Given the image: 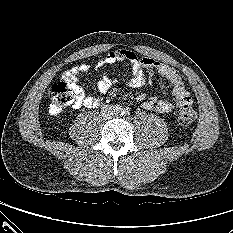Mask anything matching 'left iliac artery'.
<instances>
[{
    "label": "left iliac artery",
    "instance_id": "obj_1",
    "mask_svg": "<svg viewBox=\"0 0 233 233\" xmlns=\"http://www.w3.org/2000/svg\"><path fill=\"white\" fill-rule=\"evenodd\" d=\"M122 114H123L124 116H127V115H129V111H128L127 109H124V110L122 111Z\"/></svg>",
    "mask_w": 233,
    "mask_h": 233
}]
</instances>
